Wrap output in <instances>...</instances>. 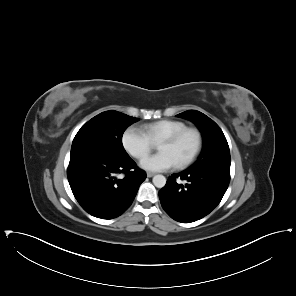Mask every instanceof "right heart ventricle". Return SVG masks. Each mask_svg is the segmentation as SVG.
Wrapping results in <instances>:
<instances>
[{
    "label": "right heart ventricle",
    "instance_id": "1",
    "mask_svg": "<svg viewBox=\"0 0 296 296\" xmlns=\"http://www.w3.org/2000/svg\"><path fill=\"white\" fill-rule=\"evenodd\" d=\"M187 127L182 122L160 121L148 127V135L152 142L158 146L163 145L174 135L183 132Z\"/></svg>",
    "mask_w": 296,
    "mask_h": 296
}]
</instances>
